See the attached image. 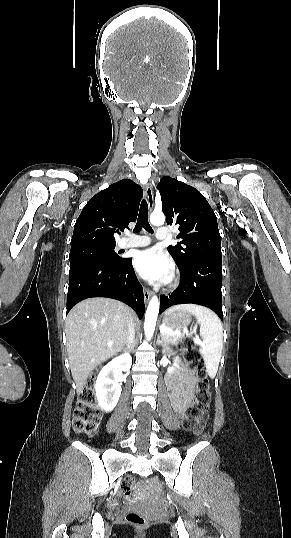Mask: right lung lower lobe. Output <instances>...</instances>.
I'll return each mask as SVG.
<instances>
[{"label": "right lung lower lobe", "mask_w": 291, "mask_h": 538, "mask_svg": "<svg viewBox=\"0 0 291 538\" xmlns=\"http://www.w3.org/2000/svg\"><path fill=\"white\" fill-rule=\"evenodd\" d=\"M91 297H108L128 304L142 317L143 288L132 267V258L119 262L92 261L70 265L67 313L78 302Z\"/></svg>", "instance_id": "1"}]
</instances>
